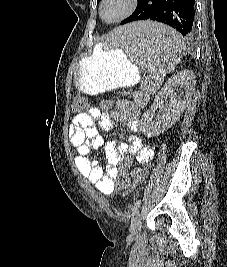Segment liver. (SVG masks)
Segmentation results:
<instances>
[{"instance_id": "obj_1", "label": "liver", "mask_w": 227, "mask_h": 267, "mask_svg": "<svg viewBox=\"0 0 227 267\" xmlns=\"http://www.w3.org/2000/svg\"><path fill=\"white\" fill-rule=\"evenodd\" d=\"M111 33H117V30L115 29V30H113ZM96 49H97V50H100L101 47H96Z\"/></svg>"}]
</instances>
